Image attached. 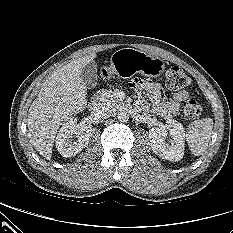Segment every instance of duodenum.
<instances>
[{
    "instance_id": "obj_1",
    "label": "duodenum",
    "mask_w": 233,
    "mask_h": 233,
    "mask_svg": "<svg viewBox=\"0 0 233 233\" xmlns=\"http://www.w3.org/2000/svg\"><path fill=\"white\" fill-rule=\"evenodd\" d=\"M99 103V96L95 95L90 99L89 106L91 108H95Z\"/></svg>"
}]
</instances>
